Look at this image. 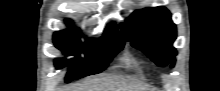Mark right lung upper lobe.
Listing matches in <instances>:
<instances>
[{
    "label": "right lung upper lobe",
    "instance_id": "cb5924a9",
    "mask_svg": "<svg viewBox=\"0 0 220 91\" xmlns=\"http://www.w3.org/2000/svg\"><path fill=\"white\" fill-rule=\"evenodd\" d=\"M67 23H71V22L67 21ZM105 32H116V33H118L121 36V34L117 31V29L114 26H112V25L107 27ZM121 38H123V37L121 36Z\"/></svg>",
    "mask_w": 220,
    "mask_h": 91
}]
</instances>
